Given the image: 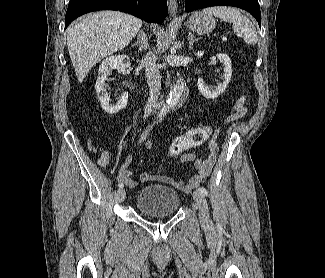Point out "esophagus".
I'll return each mask as SVG.
<instances>
[{
    "mask_svg": "<svg viewBox=\"0 0 325 278\" xmlns=\"http://www.w3.org/2000/svg\"><path fill=\"white\" fill-rule=\"evenodd\" d=\"M168 9L172 17L176 18V13L178 10V4L176 0H168Z\"/></svg>",
    "mask_w": 325,
    "mask_h": 278,
    "instance_id": "34e87169",
    "label": "esophagus"
}]
</instances>
